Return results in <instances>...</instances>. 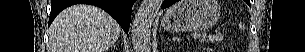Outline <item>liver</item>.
<instances>
[{
  "label": "liver",
  "instance_id": "obj_1",
  "mask_svg": "<svg viewBox=\"0 0 305 52\" xmlns=\"http://www.w3.org/2000/svg\"><path fill=\"white\" fill-rule=\"evenodd\" d=\"M117 22L92 5L63 10L49 30V52H105L119 38Z\"/></svg>",
  "mask_w": 305,
  "mask_h": 52
}]
</instances>
